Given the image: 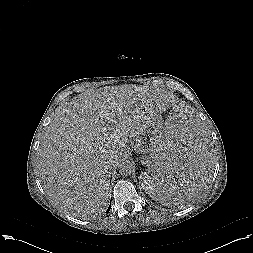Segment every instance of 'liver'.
I'll return each mask as SVG.
<instances>
[{
  "label": "liver",
  "instance_id": "liver-1",
  "mask_svg": "<svg viewBox=\"0 0 253 253\" xmlns=\"http://www.w3.org/2000/svg\"><path fill=\"white\" fill-rule=\"evenodd\" d=\"M169 98L158 88L119 85L90 89L61 103L37 155L51 202L76 218L101 214L108 205L111 170L128 138L160 117Z\"/></svg>",
  "mask_w": 253,
  "mask_h": 253
}]
</instances>
